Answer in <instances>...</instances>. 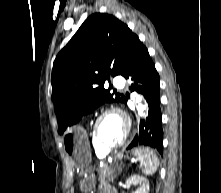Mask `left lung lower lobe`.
<instances>
[{
	"instance_id": "1",
	"label": "left lung lower lobe",
	"mask_w": 221,
	"mask_h": 193,
	"mask_svg": "<svg viewBox=\"0 0 221 193\" xmlns=\"http://www.w3.org/2000/svg\"><path fill=\"white\" fill-rule=\"evenodd\" d=\"M122 76L133 82L131 91L142 93L149 106L148 117L146 120L140 122L139 132L127 149L138 146H149L163 155L159 75L147 48L141 42L136 45L122 72ZM126 102L127 99L125 98Z\"/></svg>"
}]
</instances>
